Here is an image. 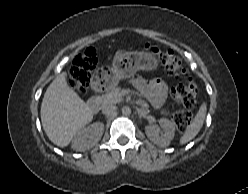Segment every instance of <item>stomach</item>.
Returning a JSON list of instances; mask_svg holds the SVG:
<instances>
[{
    "label": "stomach",
    "instance_id": "0dacf381",
    "mask_svg": "<svg viewBox=\"0 0 248 194\" xmlns=\"http://www.w3.org/2000/svg\"><path fill=\"white\" fill-rule=\"evenodd\" d=\"M158 61L147 52H126L114 57L112 67L103 71L108 87H114L121 79H128L138 71H153Z\"/></svg>",
    "mask_w": 248,
    "mask_h": 194
}]
</instances>
